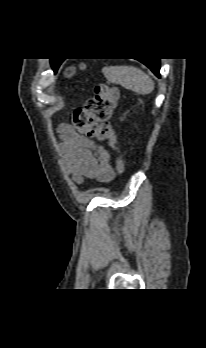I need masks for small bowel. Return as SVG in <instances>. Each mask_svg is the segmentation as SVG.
Returning a JSON list of instances; mask_svg holds the SVG:
<instances>
[{
	"label": "small bowel",
	"instance_id": "1",
	"mask_svg": "<svg viewBox=\"0 0 206 348\" xmlns=\"http://www.w3.org/2000/svg\"><path fill=\"white\" fill-rule=\"evenodd\" d=\"M62 139L60 152L66 171L81 183L84 178L109 182L114 177L109 150L80 136L70 125L58 127Z\"/></svg>",
	"mask_w": 206,
	"mask_h": 348
}]
</instances>
